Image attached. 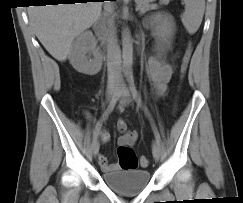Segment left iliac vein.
<instances>
[{
	"mask_svg": "<svg viewBox=\"0 0 243 203\" xmlns=\"http://www.w3.org/2000/svg\"><path fill=\"white\" fill-rule=\"evenodd\" d=\"M116 94L119 95V97H121L120 101L122 104L127 105L131 102L130 92L128 88L126 87L118 88ZM152 153L155 160L159 161L162 155V149L160 144L157 141L153 142Z\"/></svg>",
	"mask_w": 243,
	"mask_h": 203,
	"instance_id": "1",
	"label": "left iliac vein"
}]
</instances>
